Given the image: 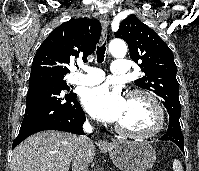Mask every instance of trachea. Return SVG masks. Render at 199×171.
<instances>
[{
  "mask_svg": "<svg viewBox=\"0 0 199 171\" xmlns=\"http://www.w3.org/2000/svg\"><path fill=\"white\" fill-rule=\"evenodd\" d=\"M105 51H106V42L97 47L96 57L98 63H102L104 61Z\"/></svg>",
  "mask_w": 199,
  "mask_h": 171,
  "instance_id": "3493384b",
  "label": "trachea"
}]
</instances>
